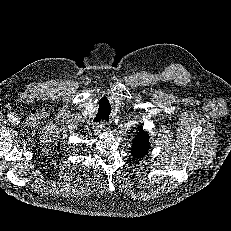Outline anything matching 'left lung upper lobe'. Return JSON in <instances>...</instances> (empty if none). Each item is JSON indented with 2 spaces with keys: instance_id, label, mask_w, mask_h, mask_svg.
Wrapping results in <instances>:
<instances>
[{
  "instance_id": "left-lung-upper-lobe-1",
  "label": "left lung upper lobe",
  "mask_w": 231,
  "mask_h": 231,
  "mask_svg": "<svg viewBox=\"0 0 231 231\" xmlns=\"http://www.w3.org/2000/svg\"><path fill=\"white\" fill-rule=\"evenodd\" d=\"M149 149V137L147 135V132L140 129V131L136 135V138L133 140L131 153L133 157L141 160L147 154Z\"/></svg>"
}]
</instances>
